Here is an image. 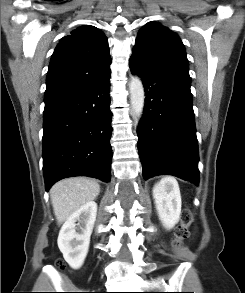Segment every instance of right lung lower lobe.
I'll use <instances>...</instances> for the list:
<instances>
[{"label":"right lung lower lobe","mask_w":245,"mask_h":293,"mask_svg":"<svg viewBox=\"0 0 245 293\" xmlns=\"http://www.w3.org/2000/svg\"><path fill=\"white\" fill-rule=\"evenodd\" d=\"M110 74L45 104L43 171L46 190L57 181L89 176L110 181Z\"/></svg>","instance_id":"obj_1"}]
</instances>
